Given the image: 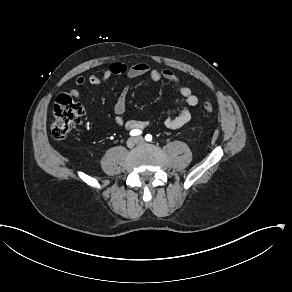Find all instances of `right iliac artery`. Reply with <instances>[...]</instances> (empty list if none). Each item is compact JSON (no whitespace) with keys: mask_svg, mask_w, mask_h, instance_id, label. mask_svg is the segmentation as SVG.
I'll list each match as a JSON object with an SVG mask.
<instances>
[{"mask_svg":"<svg viewBox=\"0 0 292 292\" xmlns=\"http://www.w3.org/2000/svg\"><path fill=\"white\" fill-rule=\"evenodd\" d=\"M141 133H142L141 130H139V129H133V130H131L130 135L131 136H138V135H141Z\"/></svg>","mask_w":292,"mask_h":292,"instance_id":"1","label":"right iliac artery"}]
</instances>
